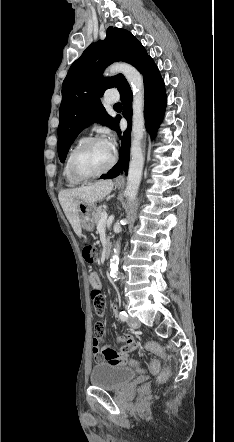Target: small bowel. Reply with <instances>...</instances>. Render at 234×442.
<instances>
[{"label":"small bowel","instance_id":"small-bowel-1","mask_svg":"<svg viewBox=\"0 0 234 442\" xmlns=\"http://www.w3.org/2000/svg\"><path fill=\"white\" fill-rule=\"evenodd\" d=\"M101 282L100 279L95 286L98 290H101ZM113 310H115V307H112ZM106 326V321L104 319H97L95 321V325L92 328L93 333H95V336H93V348L92 352L95 356V358L98 361L97 368L101 370L110 369V370H117L120 369L121 366H126L128 364L130 365H136L132 362V360H129L130 354L135 350L136 343L132 336L130 335H124L117 338V343L124 342L125 346L118 350L116 346L112 345H104L101 346L100 343L103 341L104 337V331ZM133 341V342H132Z\"/></svg>","mask_w":234,"mask_h":442}]
</instances>
